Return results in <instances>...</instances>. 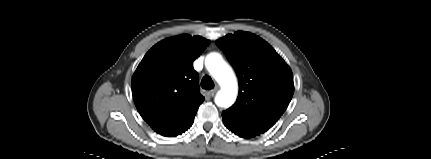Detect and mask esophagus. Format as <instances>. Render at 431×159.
I'll return each instance as SVG.
<instances>
[{
    "label": "esophagus",
    "instance_id": "obj_1",
    "mask_svg": "<svg viewBox=\"0 0 431 159\" xmlns=\"http://www.w3.org/2000/svg\"><path fill=\"white\" fill-rule=\"evenodd\" d=\"M217 91H218V87H215L213 90H210L209 92H207V95L210 97H213Z\"/></svg>",
    "mask_w": 431,
    "mask_h": 159
}]
</instances>
